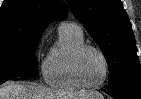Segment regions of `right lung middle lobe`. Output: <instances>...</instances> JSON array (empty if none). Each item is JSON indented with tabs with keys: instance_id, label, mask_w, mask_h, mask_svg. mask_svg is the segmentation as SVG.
<instances>
[{
	"instance_id": "right-lung-middle-lobe-1",
	"label": "right lung middle lobe",
	"mask_w": 141,
	"mask_h": 99,
	"mask_svg": "<svg viewBox=\"0 0 141 99\" xmlns=\"http://www.w3.org/2000/svg\"><path fill=\"white\" fill-rule=\"evenodd\" d=\"M40 38L27 33H0V82L39 75L34 51Z\"/></svg>"
}]
</instances>
